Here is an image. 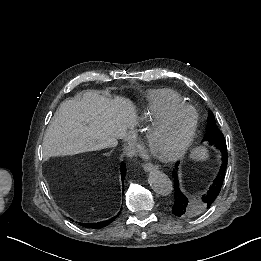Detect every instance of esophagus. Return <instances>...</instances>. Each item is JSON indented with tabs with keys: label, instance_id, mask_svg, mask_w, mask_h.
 I'll return each instance as SVG.
<instances>
[{
	"label": "esophagus",
	"instance_id": "1",
	"mask_svg": "<svg viewBox=\"0 0 261 261\" xmlns=\"http://www.w3.org/2000/svg\"><path fill=\"white\" fill-rule=\"evenodd\" d=\"M143 169L146 171V172H151V171H154V170H157L158 167L153 165V164H145L143 165Z\"/></svg>",
	"mask_w": 261,
	"mask_h": 261
}]
</instances>
